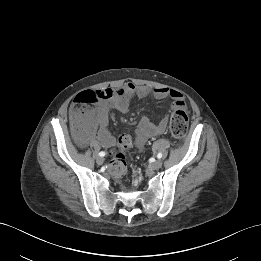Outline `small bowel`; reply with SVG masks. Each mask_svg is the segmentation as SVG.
<instances>
[{
	"instance_id": "c3829d8e",
	"label": "small bowel",
	"mask_w": 261,
	"mask_h": 261,
	"mask_svg": "<svg viewBox=\"0 0 261 261\" xmlns=\"http://www.w3.org/2000/svg\"><path fill=\"white\" fill-rule=\"evenodd\" d=\"M98 104L87 120L82 124L83 132L79 138L81 145L91 142L94 136L104 147H112L116 140L109 130V113L116 110L120 113H127L130 102L133 98L165 99L171 98L175 109L185 107L184 97L181 92L166 87L152 88L144 85H135L127 82L124 85L112 89L105 88L97 91ZM168 117L158 123L150 122L146 117L142 118L135 131V146L142 149L147 140L160 135L166 131Z\"/></svg>"
}]
</instances>
